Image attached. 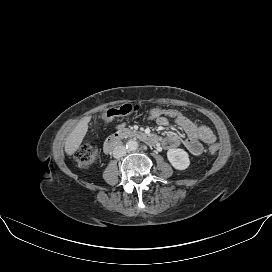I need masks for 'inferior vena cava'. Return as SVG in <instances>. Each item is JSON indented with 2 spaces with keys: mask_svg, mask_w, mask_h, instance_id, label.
Here are the masks:
<instances>
[{
  "mask_svg": "<svg viewBox=\"0 0 272 272\" xmlns=\"http://www.w3.org/2000/svg\"><path fill=\"white\" fill-rule=\"evenodd\" d=\"M127 149L123 145H118L113 149V157L121 158L126 155Z\"/></svg>",
  "mask_w": 272,
  "mask_h": 272,
  "instance_id": "602c4592",
  "label": "inferior vena cava"
}]
</instances>
